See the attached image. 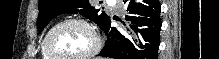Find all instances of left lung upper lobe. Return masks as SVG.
Wrapping results in <instances>:
<instances>
[{"label": "left lung upper lobe", "instance_id": "obj_1", "mask_svg": "<svg viewBox=\"0 0 219 59\" xmlns=\"http://www.w3.org/2000/svg\"><path fill=\"white\" fill-rule=\"evenodd\" d=\"M38 33L57 15L79 13L102 28L110 19L105 12L98 13L88 0H39Z\"/></svg>", "mask_w": 219, "mask_h": 59}]
</instances>
